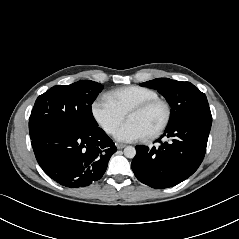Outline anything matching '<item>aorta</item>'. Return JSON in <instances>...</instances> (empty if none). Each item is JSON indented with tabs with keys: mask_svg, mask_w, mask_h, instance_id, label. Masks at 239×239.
Returning <instances> with one entry per match:
<instances>
[{
	"mask_svg": "<svg viewBox=\"0 0 239 239\" xmlns=\"http://www.w3.org/2000/svg\"><path fill=\"white\" fill-rule=\"evenodd\" d=\"M124 155L127 158H134L136 155V149L133 146H127L124 149Z\"/></svg>",
	"mask_w": 239,
	"mask_h": 239,
	"instance_id": "1",
	"label": "aorta"
}]
</instances>
